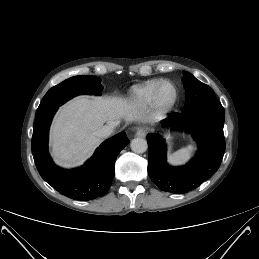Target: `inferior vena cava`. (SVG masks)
I'll use <instances>...</instances> for the list:
<instances>
[{
    "label": "inferior vena cava",
    "mask_w": 259,
    "mask_h": 259,
    "mask_svg": "<svg viewBox=\"0 0 259 259\" xmlns=\"http://www.w3.org/2000/svg\"><path fill=\"white\" fill-rule=\"evenodd\" d=\"M117 124L115 122H111L105 126H103L102 128H100L99 130L94 132V135L99 137V138H107L108 136H110L113 131H114V127Z\"/></svg>",
    "instance_id": "602c4592"
}]
</instances>
